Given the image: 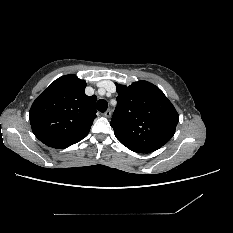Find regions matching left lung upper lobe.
<instances>
[{
    "instance_id": "obj_1",
    "label": "left lung upper lobe",
    "mask_w": 233,
    "mask_h": 233,
    "mask_svg": "<svg viewBox=\"0 0 233 233\" xmlns=\"http://www.w3.org/2000/svg\"><path fill=\"white\" fill-rule=\"evenodd\" d=\"M111 126L116 138L137 153L153 152L174 135L179 115L164 93L147 81L117 84Z\"/></svg>"
}]
</instances>
